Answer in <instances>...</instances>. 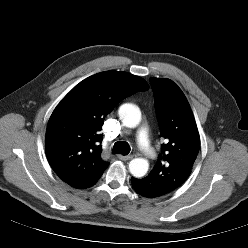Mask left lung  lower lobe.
Masks as SVG:
<instances>
[{
	"label": "left lung lower lobe",
	"mask_w": 248,
	"mask_h": 248,
	"mask_svg": "<svg viewBox=\"0 0 248 248\" xmlns=\"http://www.w3.org/2000/svg\"><path fill=\"white\" fill-rule=\"evenodd\" d=\"M132 186L135 191L146 198H156L159 197L157 193H155L150 187L141 183L139 180L135 179L134 177L131 178Z\"/></svg>",
	"instance_id": "obj_1"
}]
</instances>
